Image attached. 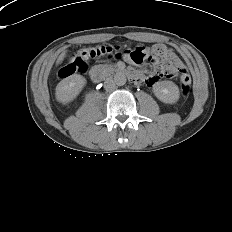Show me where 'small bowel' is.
<instances>
[{
    "mask_svg": "<svg viewBox=\"0 0 232 232\" xmlns=\"http://www.w3.org/2000/svg\"><path fill=\"white\" fill-rule=\"evenodd\" d=\"M154 47V46H153ZM153 47L150 49V51H152ZM165 47V46H164ZM144 49V48H143ZM167 53L169 55H171L173 57V59L175 60V64L179 67V68H183V64L180 61V59L167 47H165ZM129 61L133 62L132 60L129 59ZM160 78V72H157V74H155V76L152 78L153 82L158 81V79Z\"/></svg>",
    "mask_w": 232,
    "mask_h": 232,
    "instance_id": "obj_1",
    "label": "small bowel"
}]
</instances>
